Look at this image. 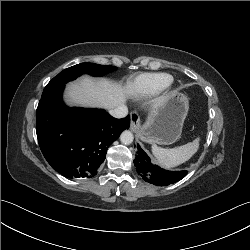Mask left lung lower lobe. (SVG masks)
Returning <instances> with one entry per match:
<instances>
[{
	"label": "left lung lower lobe",
	"instance_id": "0a47b994",
	"mask_svg": "<svg viewBox=\"0 0 250 250\" xmlns=\"http://www.w3.org/2000/svg\"><path fill=\"white\" fill-rule=\"evenodd\" d=\"M136 171L146 181L158 186H166L181 180L187 171H167L151 163L148 155L138 145L134 159Z\"/></svg>",
	"mask_w": 250,
	"mask_h": 250
}]
</instances>
